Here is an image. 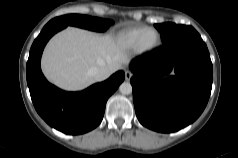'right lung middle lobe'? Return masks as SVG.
Returning <instances> with one entry per match:
<instances>
[{
  "label": "right lung middle lobe",
  "mask_w": 238,
  "mask_h": 158,
  "mask_svg": "<svg viewBox=\"0 0 238 158\" xmlns=\"http://www.w3.org/2000/svg\"><path fill=\"white\" fill-rule=\"evenodd\" d=\"M113 24V21L86 16L79 14H69L52 19L46 26L52 25H63L67 27L68 25L77 26L93 31H105L108 27Z\"/></svg>",
  "instance_id": "dd1d6c3e"
}]
</instances>
